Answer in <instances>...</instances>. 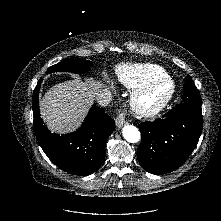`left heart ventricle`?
<instances>
[{"label": "left heart ventricle", "instance_id": "b2bd125f", "mask_svg": "<svg viewBox=\"0 0 221 221\" xmlns=\"http://www.w3.org/2000/svg\"><path fill=\"white\" fill-rule=\"evenodd\" d=\"M165 93V87H158L153 92L144 97L143 103L146 105L153 104L156 100H158Z\"/></svg>", "mask_w": 221, "mask_h": 221}]
</instances>
